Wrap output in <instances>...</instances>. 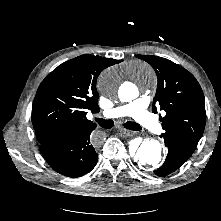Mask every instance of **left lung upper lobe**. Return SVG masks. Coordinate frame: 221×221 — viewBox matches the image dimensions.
Listing matches in <instances>:
<instances>
[{
    "label": "left lung upper lobe",
    "instance_id": "left-lung-upper-lobe-1",
    "mask_svg": "<svg viewBox=\"0 0 221 221\" xmlns=\"http://www.w3.org/2000/svg\"><path fill=\"white\" fill-rule=\"evenodd\" d=\"M148 62L158 78L157 92L153 100L156 106L166 112L160 116L163 138H173L197 146L202 137L206 111L204 95L195 77L180 65L157 56L136 55Z\"/></svg>",
    "mask_w": 221,
    "mask_h": 221
}]
</instances>
